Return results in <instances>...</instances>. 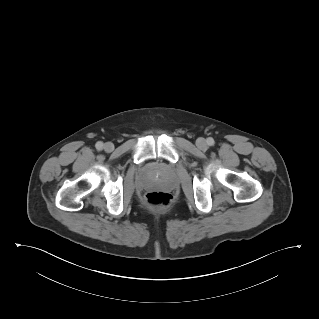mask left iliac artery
Segmentation results:
<instances>
[{"mask_svg":"<svg viewBox=\"0 0 319 319\" xmlns=\"http://www.w3.org/2000/svg\"><path fill=\"white\" fill-rule=\"evenodd\" d=\"M207 143H208L209 146H213L215 142H214V139H213V138L209 137V138L207 139Z\"/></svg>","mask_w":319,"mask_h":319,"instance_id":"obj_1","label":"left iliac artery"}]
</instances>
